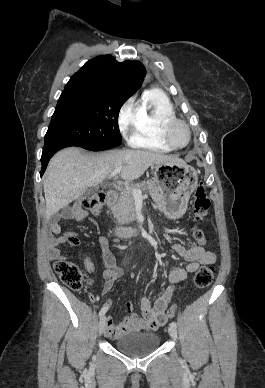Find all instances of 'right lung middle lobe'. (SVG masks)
<instances>
[{
    "label": "right lung middle lobe",
    "instance_id": "1",
    "mask_svg": "<svg viewBox=\"0 0 265 388\" xmlns=\"http://www.w3.org/2000/svg\"><path fill=\"white\" fill-rule=\"evenodd\" d=\"M128 98L109 92H63L45 135L44 147L71 143L100 151L121 145L118 114Z\"/></svg>",
    "mask_w": 265,
    "mask_h": 388
}]
</instances>
